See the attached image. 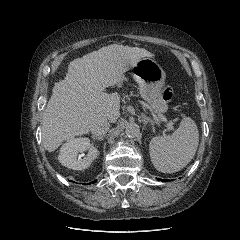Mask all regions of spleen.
Here are the masks:
<instances>
[{"label":"spleen","instance_id":"3e777b00","mask_svg":"<svg viewBox=\"0 0 240 240\" xmlns=\"http://www.w3.org/2000/svg\"><path fill=\"white\" fill-rule=\"evenodd\" d=\"M198 143L197 125L191 118L186 117L170 138L156 136L151 139L149 144L151 161L160 172H178L193 159Z\"/></svg>","mask_w":240,"mask_h":240}]
</instances>
